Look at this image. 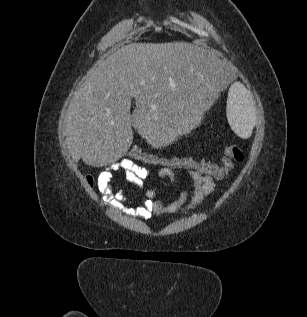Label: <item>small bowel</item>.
<instances>
[{
    "mask_svg": "<svg viewBox=\"0 0 307 317\" xmlns=\"http://www.w3.org/2000/svg\"><path fill=\"white\" fill-rule=\"evenodd\" d=\"M117 170L121 171L125 179L135 185L143 195V199L131 214L144 219H150L154 215L189 213L200 205L215 189V182L212 177L195 171H188V176L193 184L191 196L189 191L184 189L179 197L170 203H165L162 199L155 200L156 187L145 188V180L150 176V169L126 159H121L106 165L96 179L97 189L102 194L103 200L111 205L126 201L121 194L114 195L112 192L111 181L114 171ZM176 175L177 172L175 170L168 168H161L158 171V178L167 179L171 185L174 184Z\"/></svg>",
    "mask_w": 307,
    "mask_h": 317,
    "instance_id": "c3829d8e",
    "label": "small bowel"
}]
</instances>
